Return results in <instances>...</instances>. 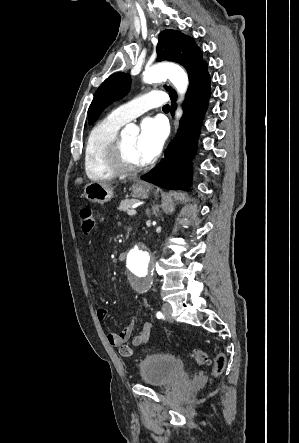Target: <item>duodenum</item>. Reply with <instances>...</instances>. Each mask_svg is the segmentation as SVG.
<instances>
[{
    "label": "duodenum",
    "mask_w": 299,
    "mask_h": 443,
    "mask_svg": "<svg viewBox=\"0 0 299 443\" xmlns=\"http://www.w3.org/2000/svg\"><path fill=\"white\" fill-rule=\"evenodd\" d=\"M126 256H127V251H124V252L120 253V255H119V259H120V260L125 259Z\"/></svg>",
    "instance_id": "duodenum-1"
}]
</instances>
